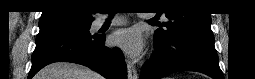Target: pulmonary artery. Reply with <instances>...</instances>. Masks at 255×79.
<instances>
[{
	"mask_svg": "<svg viewBox=\"0 0 255 79\" xmlns=\"http://www.w3.org/2000/svg\"><path fill=\"white\" fill-rule=\"evenodd\" d=\"M141 16L145 17V16H148V15H141ZM104 22H105V19H103V18H99V19H97V21H96V23H97L98 26L103 25ZM121 22H122V20H118V19L112 21L113 24H119V23H121Z\"/></svg>",
	"mask_w": 255,
	"mask_h": 79,
	"instance_id": "obj_1",
	"label": "pulmonary artery"
}]
</instances>
